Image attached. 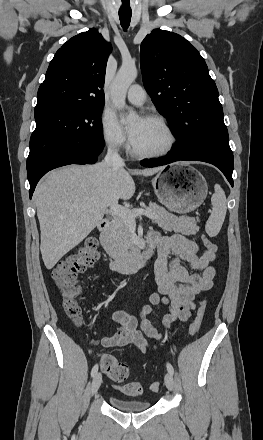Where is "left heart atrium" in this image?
Returning <instances> with one entry per match:
<instances>
[{
    "mask_svg": "<svg viewBox=\"0 0 263 440\" xmlns=\"http://www.w3.org/2000/svg\"><path fill=\"white\" fill-rule=\"evenodd\" d=\"M142 120H143V119H141L140 121H142ZM138 128H139V124H137V125L132 126V127L129 128L128 133H129V136H130V139H131L132 142L134 141V139H135L136 136H137Z\"/></svg>",
    "mask_w": 263,
    "mask_h": 440,
    "instance_id": "obj_1",
    "label": "left heart atrium"
}]
</instances>
